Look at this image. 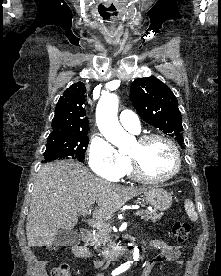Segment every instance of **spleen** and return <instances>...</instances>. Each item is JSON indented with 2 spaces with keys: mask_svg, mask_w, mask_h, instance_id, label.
Wrapping results in <instances>:
<instances>
[{
  "mask_svg": "<svg viewBox=\"0 0 221 276\" xmlns=\"http://www.w3.org/2000/svg\"><path fill=\"white\" fill-rule=\"evenodd\" d=\"M184 207L190 220L196 222L198 220V214L195 211L194 203L191 200L187 199L185 200Z\"/></svg>",
  "mask_w": 221,
  "mask_h": 276,
  "instance_id": "obj_1",
  "label": "spleen"
}]
</instances>
